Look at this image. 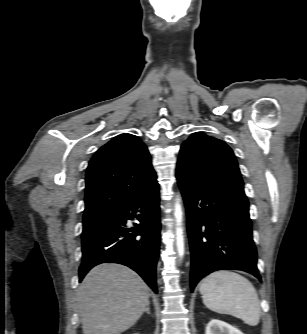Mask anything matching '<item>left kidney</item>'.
<instances>
[{
  "label": "left kidney",
  "mask_w": 307,
  "mask_h": 334,
  "mask_svg": "<svg viewBox=\"0 0 307 334\" xmlns=\"http://www.w3.org/2000/svg\"><path fill=\"white\" fill-rule=\"evenodd\" d=\"M205 334H244L235 327L220 321L218 319H212L206 327Z\"/></svg>",
  "instance_id": "obj_1"
}]
</instances>
